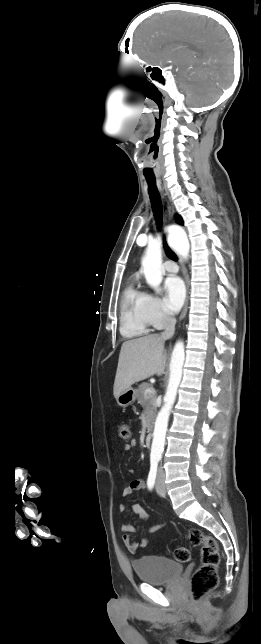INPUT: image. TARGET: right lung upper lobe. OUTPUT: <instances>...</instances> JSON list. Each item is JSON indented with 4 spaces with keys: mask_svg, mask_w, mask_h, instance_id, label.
<instances>
[{
    "mask_svg": "<svg viewBox=\"0 0 261 644\" xmlns=\"http://www.w3.org/2000/svg\"><path fill=\"white\" fill-rule=\"evenodd\" d=\"M177 223H179V224H183V221H182V218H181V217H178V219H177Z\"/></svg>",
    "mask_w": 261,
    "mask_h": 644,
    "instance_id": "1",
    "label": "right lung upper lobe"
}]
</instances>
